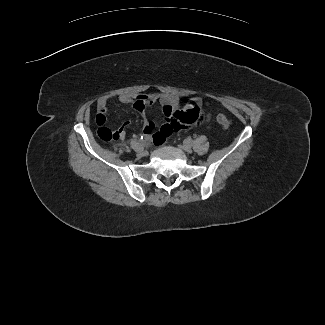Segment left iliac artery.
Returning a JSON list of instances; mask_svg holds the SVG:
<instances>
[{
    "label": "left iliac artery",
    "instance_id": "1",
    "mask_svg": "<svg viewBox=\"0 0 325 325\" xmlns=\"http://www.w3.org/2000/svg\"><path fill=\"white\" fill-rule=\"evenodd\" d=\"M185 144H189V145H192L193 141L191 138H187L185 141H184Z\"/></svg>",
    "mask_w": 325,
    "mask_h": 325
}]
</instances>
